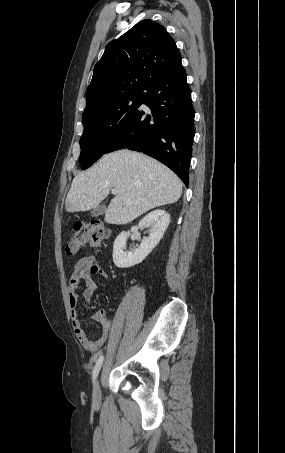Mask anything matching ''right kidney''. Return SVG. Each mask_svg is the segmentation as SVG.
<instances>
[{
  "instance_id": "right-kidney-1",
  "label": "right kidney",
  "mask_w": 285,
  "mask_h": 453,
  "mask_svg": "<svg viewBox=\"0 0 285 453\" xmlns=\"http://www.w3.org/2000/svg\"><path fill=\"white\" fill-rule=\"evenodd\" d=\"M170 223V215L165 210H154L141 219L138 226L131 228L132 233L145 226H151L149 236L142 240L140 246L133 251L126 252L128 232H121L113 244V262L119 268H129L141 263L162 239Z\"/></svg>"
}]
</instances>
